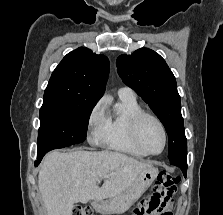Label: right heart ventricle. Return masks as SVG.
Wrapping results in <instances>:
<instances>
[{
    "label": "right heart ventricle",
    "instance_id": "1",
    "mask_svg": "<svg viewBox=\"0 0 223 215\" xmlns=\"http://www.w3.org/2000/svg\"><path fill=\"white\" fill-rule=\"evenodd\" d=\"M120 109L106 111V124L98 136V141L108 148L141 157L131 136V125L134 117L142 112V107L135 96H119Z\"/></svg>",
    "mask_w": 223,
    "mask_h": 215
}]
</instances>
